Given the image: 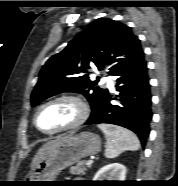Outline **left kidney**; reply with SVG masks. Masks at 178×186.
<instances>
[{"label":"left kidney","mask_w":178,"mask_h":186,"mask_svg":"<svg viewBox=\"0 0 178 186\" xmlns=\"http://www.w3.org/2000/svg\"><path fill=\"white\" fill-rule=\"evenodd\" d=\"M126 168L120 163H111L102 167L94 176L93 181H125Z\"/></svg>","instance_id":"5707ae66"}]
</instances>
